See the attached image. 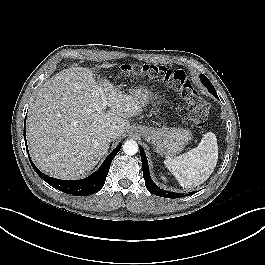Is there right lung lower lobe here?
<instances>
[{"mask_svg": "<svg viewBox=\"0 0 265 265\" xmlns=\"http://www.w3.org/2000/svg\"><path fill=\"white\" fill-rule=\"evenodd\" d=\"M26 123V122H25ZM25 125L24 124V139L26 141V132H25ZM26 144V150L27 149V143ZM121 148V144H119L115 150L107 156L101 167L88 176L87 178L81 179V180H59L53 177H48L44 175L41 171L37 169V167L33 164L29 153L28 157L30 160V163L35 170V172L44 179L49 185H51L53 188H57L58 190L62 192H66L72 195L76 196H84L89 194H94L95 192H98L104 185L107 174L110 169V164L113 160V158L116 156V154L119 152Z\"/></svg>", "mask_w": 265, "mask_h": 265, "instance_id": "obj_1", "label": "right lung lower lobe"}]
</instances>
